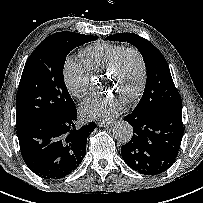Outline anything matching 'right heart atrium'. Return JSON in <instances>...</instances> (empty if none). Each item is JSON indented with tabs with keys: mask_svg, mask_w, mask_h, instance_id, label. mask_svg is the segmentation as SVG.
<instances>
[{
	"mask_svg": "<svg viewBox=\"0 0 203 203\" xmlns=\"http://www.w3.org/2000/svg\"><path fill=\"white\" fill-rule=\"evenodd\" d=\"M63 81L68 92L81 99L90 89L91 75L82 62L73 58H67L62 70Z\"/></svg>",
	"mask_w": 203,
	"mask_h": 203,
	"instance_id": "obj_1",
	"label": "right heart atrium"
}]
</instances>
